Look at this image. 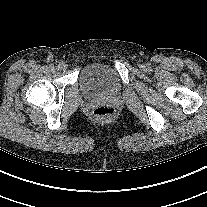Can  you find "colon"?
Listing matches in <instances>:
<instances>
[{"mask_svg":"<svg viewBox=\"0 0 207 207\" xmlns=\"http://www.w3.org/2000/svg\"><path fill=\"white\" fill-rule=\"evenodd\" d=\"M114 114V109L108 106H99L92 111L93 117L100 121H108L113 118Z\"/></svg>","mask_w":207,"mask_h":207,"instance_id":"5ec220e1","label":"colon"}]
</instances>
